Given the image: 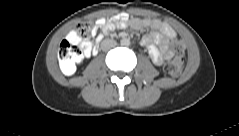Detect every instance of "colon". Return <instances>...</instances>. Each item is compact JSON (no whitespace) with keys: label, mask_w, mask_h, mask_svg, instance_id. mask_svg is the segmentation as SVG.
Wrapping results in <instances>:
<instances>
[{"label":"colon","mask_w":239,"mask_h":136,"mask_svg":"<svg viewBox=\"0 0 239 136\" xmlns=\"http://www.w3.org/2000/svg\"><path fill=\"white\" fill-rule=\"evenodd\" d=\"M95 30L96 21L93 19L81 21L75 27V33L81 41L90 38L94 34ZM172 49L174 57L165 64L164 71L171 77H177L183 70L182 56L184 52V43L178 39L173 40ZM80 59L81 48L77 43L71 41L70 39L61 42L58 49V62L60 68L65 74H72Z\"/></svg>","instance_id":"1"}]
</instances>
